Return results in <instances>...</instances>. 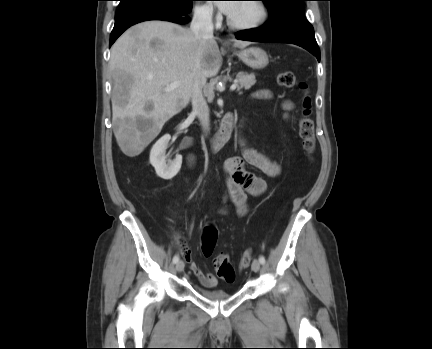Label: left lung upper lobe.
I'll return each instance as SVG.
<instances>
[{
  "mask_svg": "<svg viewBox=\"0 0 432 349\" xmlns=\"http://www.w3.org/2000/svg\"><path fill=\"white\" fill-rule=\"evenodd\" d=\"M264 1L272 20L301 19L306 20L303 2L306 0H261Z\"/></svg>",
  "mask_w": 432,
  "mask_h": 349,
  "instance_id": "left-lung-upper-lobe-1",
  "label": "left lung upper lobe"
}]
</instances>
